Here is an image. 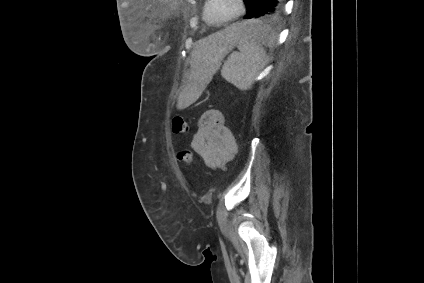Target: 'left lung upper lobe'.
I'll list each match as a JSON object with an SVG mask.
<instances>
[{
    "instance_id": "1",
    "label": "left lung upper lobe",
    "mask_w": 424,
    "mask_h": 283,
    "mask_svg": "<svg viewBox=\"0 0 424 283\" xmlns=\"http://www.w3.org/2000/svg\"><path fill=\"white\" fill-rule=\"evenodd\" d=\"M245 4L247 5V14L245 16L246 19H250L252 18V16L255 14L257 6H258V1L259 0H244ZM282 10V7H280L276 12L270 14V15H266L260 18H274L276 17Z\"/></svg>"
}]
</instances>
